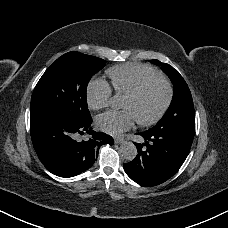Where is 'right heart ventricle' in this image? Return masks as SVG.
<instances>
[{
	"instance_id": "1",
	"label": "right heart ventricle",
	"mask_w": 228,
	"mask_h": 228,
	"mask_svg": "<svg viewBox=\"0 0 228 228\" xmlns=\"http://www.w3.org/2000/svg\"><path fill=\"white\" fill-rule=\"evenodd\" d=\"M108 75L118 95L126 96L136 91L145 82L158 78L160 73L150 67L128 64L108 70Z\"/></svg>"
}]
</instances>
